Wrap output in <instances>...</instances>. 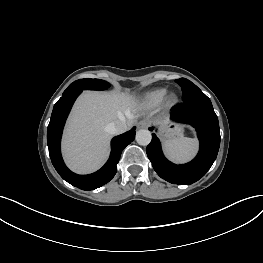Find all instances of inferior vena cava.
I'll use <instances>...</instances> for the list:
<instances>
[{"mask_svg": "<svg viewBox=\"0 0 263 263\" xmlns=\"http://www.w3.org/2000/svg\"><path fill=\"white\" fill-rule=\"evenodd\" d=\"M128 129L125 119H119L107 125L106 130L111 134H121Z\"/></svg>", "mask_w": 263, "mask_h": 263, "instance_id": "602c4592", "label": "inferior vena cava"}]
</instances>
